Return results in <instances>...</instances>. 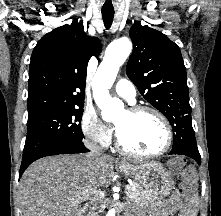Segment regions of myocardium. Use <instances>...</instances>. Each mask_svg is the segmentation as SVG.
<instances>
[{
    "mask_svg": "<svg viewBox=\"0 0 221 216\" xmlns=\"http://www.w3.org/2000/svg\"><path fill=\"white\" fill-rule=\"evenodd\" d=\"M129 113L133 114V115H138V114H143V113H149L154 115L155 117H157L162 125L164 126L165 129V133H166V140H165V144L164 146L155 152H149V153H142V152H138L135 151L127 146H125L120 137L119 134L116 130V147L123 153L129 155V156H133V157H142V158H155L158 157L160 155H163L164 153H166L173 142V131H172V127L168 121V119L156 108L151 107V106H134L132 108H130L128 110Z\"/></svg>",
    "mask_w": 221,
    "mask_h": 216,
    "instance_id": "myocardium-1",
    "label": "myocardium"
}]
</instances>
